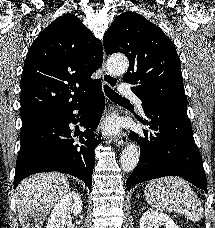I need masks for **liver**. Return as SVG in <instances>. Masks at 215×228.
Instances as JSON below:
<instances>
[{
  "mask_svg": "<svg viewBox=\"0 0 215 228\" xmlns=\"http://www.w3.org/2000/svg\"><path fill=\"white\" fill-rule=\"evenodd\" d=\"M69 190L65 174H34L20 182L15 192L18 218L22 228H42L46 214Z\"/></svg>",
  "mask_w": 215,
  "mask_h": 228,
  "instance_id": "obj_1",
  "label": "liver"
}]
</instances>
